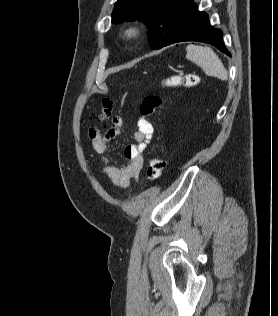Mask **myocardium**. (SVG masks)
Here are the masks:
<instances>
[{"instance_id": "1", "label": "myocardium", "mask_w": 278, "mask_h": 316, "mask_svg": "<svg viewBox=\"0 0 278 316\" xmlns=\"http://www.w3.org/2000/svg\"><path fill=\"white\" fill-rule=\"evenodd\" d=\"M141 35V28L137 24H128L122 31L121 36L125 41H134Z\"/></svg>"}]
</instances>
